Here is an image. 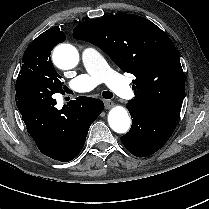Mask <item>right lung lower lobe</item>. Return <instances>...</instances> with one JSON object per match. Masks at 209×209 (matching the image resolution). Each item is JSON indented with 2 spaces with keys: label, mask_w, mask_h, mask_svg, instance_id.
I'll return each mask as SVG.
<instances>
[{
  "label": "right lung lower lobe",
  "mask_w": 209,
  "mask_h": 209,
  "mask_svg": "<svg viewBox=\"0 0 209 209\" xmlns=\"http://www.w3.org/2000/svg\"><path fill=\"white\" fill-rule=\"evenodd\" d=\"M16 104L27 131L46 156L68 162L82 150L92 122L104 109L99 99L78 97L58 110L49 89L16 81Z\"/></svg>",
  "instance_id": "right-lung-lower-lobe-1"
}]
</instances>
